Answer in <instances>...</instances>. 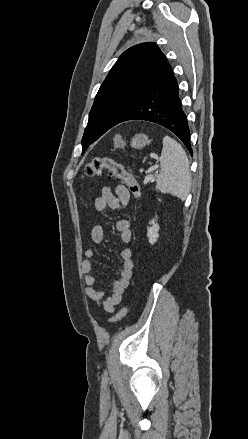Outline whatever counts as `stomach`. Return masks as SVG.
Wrapping results in <instances>:
<instances>
[{"label":"stomach","instance_id":"1","mask_svg":"<svg viewBox=\"0 0 248 439\" xmlns=\"http://www.w3.org/2000/svg\"><path fill=\"white\" fill-rule=\"evenodd\" d=\"M150 141L148 140V137L145 134H136L132 140H131V146L134 149H142L146 145H148Z\"/></svg>","mask_w":248,"mask_h":439}]
</instances>
